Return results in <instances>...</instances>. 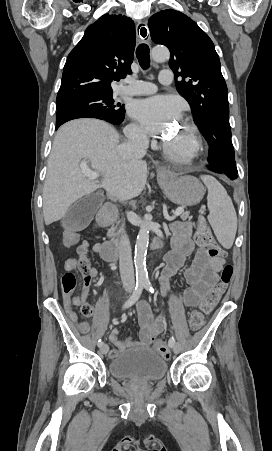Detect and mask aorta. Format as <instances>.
I'll return each mask as SVG.
<instances>
[{
  "label": "aorta",
  "mask_w": 272,
  "mask_h": 451,
  "mask_svg": "<svg viewBox=\"0 0 272 451\" xmlns=\"http://www.w3.org/2000/svg\"><path fill=\"white\" fill-rule=\"evenodd\" d=\"M150 56L154 62H165L169 60L170 52L167 48H153ZM149 243V229L146 226L140 227L135 243L134 263L136 269V279L139 281H147L148 273L146 269V255Z\"/></svg>",
  "instance_id": "aorta-1"
}]
</instances>
